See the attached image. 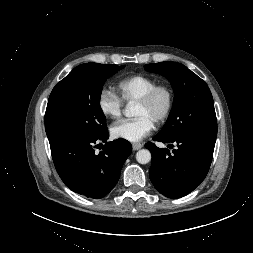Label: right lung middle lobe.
<instances>
[{
	"mask_svg": "<svg viewBox=\"0 0 253 253\" xmlns=\"http://www.w3.org/2000/svg\"><path fill=\"white\" fill-rule=\"evenodd\" d=\"M125 66L85 63L74 68L52 90L45 113L49 143L95 136L106 130L100 96L107 78Z\"/></svg>",
	"mask_w": 253,
	"mask_h": 253,
	"instance_id": "right-lung-middle-lobe-1",
	"label": "right lung middle lobe"
}]
</instances>
